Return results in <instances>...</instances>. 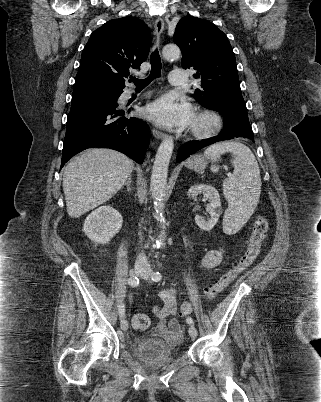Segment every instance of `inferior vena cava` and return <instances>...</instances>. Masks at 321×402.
<instances>
[{
    "label": "inferior vena cava",
    "instance_id": "obj_1",
    "mask_svg": "<svg viewBox=\"0 0 321 402\" xmlns=\"http://www.w3.org/2000/svg\"><path fill=\"white\" fill-rule=\"evenodd\" d=\"M136 267L146 268L148 267V261L144 253H140L136 259Z\"/></svg>",
    "mask_w": 321,
    "mask_h": 402
}]
</instances>
